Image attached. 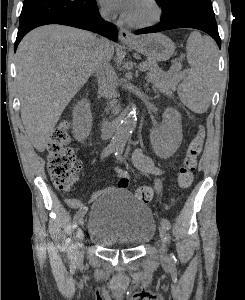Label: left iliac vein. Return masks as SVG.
Instances as JSON below:
<instances>
[{
	"instance_id": "obj_1",
	"label": "left iliac vein",
	"mask_w": 245,
	"mask_h": 300,
	"mask_svg": "<svg viewBox=\"0 0 245 300\" xmlns=\"http://www.w3.org/2000/svg\"><path fill=\"white\" fill-rule=\"evenodd\" d=\"M159 234L161 239L160 256H161V260L166 262L168 260L167 248H166L167 233H166V228L163 224L159 226Z\"/></svg>"
}]
</instances>
